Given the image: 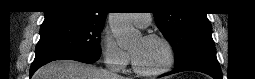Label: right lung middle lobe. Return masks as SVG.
<instances>
[{
	"mask_svg": "<svg viewBox=\"0 0 255 79\" xmlns=\"http://www.w3.org/2000/svg\"><path fill=\"white\" fill-rule=\"evenodd\" d=\"M104 25L69 20L44 21L36 56L65 52L100 57V32Z\"/></svg>",
	"mask_w": 255,
	"mask_h": 79,
	"instance_id": "right-lung-middle-lobe-1",
	"label": "right lung middle lobe"
}]
</instances>
